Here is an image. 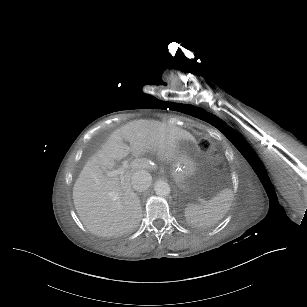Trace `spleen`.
<instances>
[{"mask_svg": "<svg viewBox=\"0 0 307 307\" xmlns=\"http://www.w3.org/2000/svg\"><path fill=\"white\" fill-rule=\"evenodd\" d=\"M232 200V191L224 189L206 202L205 205L201 203L187 205L185 215L189 222L197 227H210L218 223L227 214Z\"/></svg>", "mask_w": 307, "mask_h": 307, "instance_id": "1", "label": "spleen"}]
</instances>
